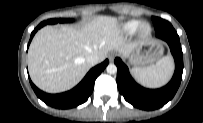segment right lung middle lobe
Here are the masks:
<instances>
[{
  "instance_id": "1",
  "label": "right lung middle lobe",
  "mask_w": 203,
  "mask_h": 123,
  "mask_svg": "<svg viewBox=\"0 0 203 123\" xmlns=\"http://www.w3.org/2000/svg\"><path fill=\"white\" fill-rule=\"evenodd\" d=\"M71 21H72L71 19H49V20H47V21L41 22L40 25H41V26H44V25H46V24H55V23H57V22L62 23V22H71Z\"/></svg>"
}]
</instances>
